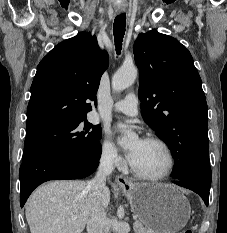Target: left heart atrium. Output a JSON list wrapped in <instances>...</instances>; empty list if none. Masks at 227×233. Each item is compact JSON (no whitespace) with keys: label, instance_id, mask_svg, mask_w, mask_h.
Wrapping results in <instances>:
<instances>
[{"label":"left heart atrium","instance_id":"obj_1","mask_svg":"<svg viewBox=\"0 0 227 233\" xmlns=\"http://www.w3.org/2000/svg\"><path fill=\"white\" fill-rule=\"evenodd\" d=\"M135 150H136V147L133 146V147H130L127 151V157L129 159V161L132 159L134 153H135Z\"/></svg>","mask_w":227,"mask_h":233}]
</instances>
